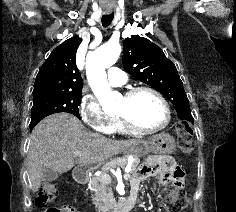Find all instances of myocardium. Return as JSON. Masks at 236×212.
<instances>
[{
    "label": "myocardium",
    "instance_id": "f54148a6",
    "mask_svg": "<svg viewBox=\"0 0 236 212\" xmlns=\"http://www.w3.org/2000/svg\"><path fill=\"white\" fill-rule=\"evenodd\" d=\"M141 92L151 93L161 101L166 111V119L164 123L156 128L146 129V128L139 127L137 124H135L130 118V116L127 114H117L116 116L117 119L120 121L122 126L130 133L147 135V134H153V133L162 131L170 124L171 119H172V111H171V107L167 99L158 90L149 86H144V85L133 86V87L128 88L124 92L123 97L126 100H131L133 97H135L137 94Z\"/></svg>",
    "mask_w": 236,
    "mask_h": 212
}]
</instances>
